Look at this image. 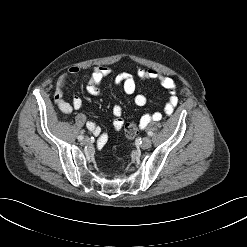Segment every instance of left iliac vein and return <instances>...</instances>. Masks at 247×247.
Here are the masks:
<instances>
[{"label":"left iliac vein","instance_id":"4c4485c4","mask_svg":"<svg viewBox=\"0 0 247 247\" xmlns=\"http://www.w3.org/2000/svg\"><path fill=\"white\" fill-rule=\"evenodd\" d=\"M151 144H152L151 139L148 137H145L142 140L141 148L142 149H148L151 147Z\"/></svg>","mask_w":247,"mask_h":247}]
</instances>
